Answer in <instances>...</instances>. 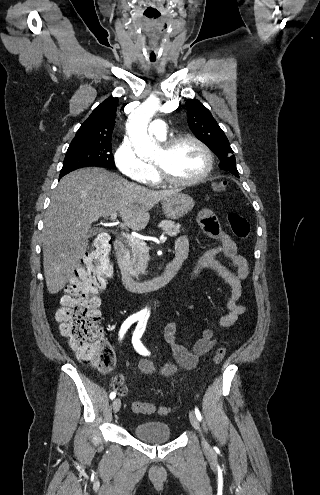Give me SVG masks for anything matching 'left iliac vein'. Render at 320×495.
<instances>
[{
  "label": "left iliac vein",
  "instance_id": "1",
  "mask_svg": "<svg viewBox=\"0 0 320 495\" xmlns=\"http://www.w3.org/2000/svg\"><path fill=\"white\" fill-rule=\"evenodd\" d=\"M189 419H190V422L192 424V426L200 433L201 435V442H202V446L205 450H209L210 449V445L208 444V442L204 439L203 435H202V431H201V428H200V424H199V421L196 417V415L194 414L193 411H190L189 413Z\"/></svg>",
  "mask_w": 320,
  "mask_h": 495
}]
</instances>
